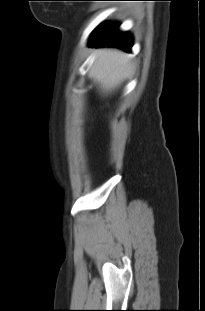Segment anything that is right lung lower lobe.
<instances>
[{
    "label": "right lung lower lobe",
    "mask_w": 205,
    "mask_h": 311,
    "mask_svg": "<svg viewBox=\"0 0 205 311\" xmlns=\"http://www.w3.org/2000/svg\"><path fill=\"white\" fill-rule=\"evenodd\" d=\"M118 26L115 24L109 25H100L93 33L90 42L88 43L89 47H117L123 49L124 51L129 52L132 39L131 36L127 33H119L117 31Z\"/></svg>",
    "instance_id": "right-lung-lower-lobe-1"
}]
</instances>
